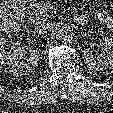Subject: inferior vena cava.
Returning a JSON list of instances; mask_svg holds the SVG:
<instances>
[{
	"label": "inferior vena cava",
	"instance_id": "602c4592",
	"mask_svg": "<svg viewBox=\"0 0 113 113\" xmlns=\"http://www.w3.org/2000/svg\"><path fill=\"white\" fill-rule=\"evenodd\" d=\"M52 23H42L36 26L35 31L38 34H45L48 33L52 30Z\"/></svg>",
	"mask_w": 113,
	"mask_h": 113
}]
</instances>
